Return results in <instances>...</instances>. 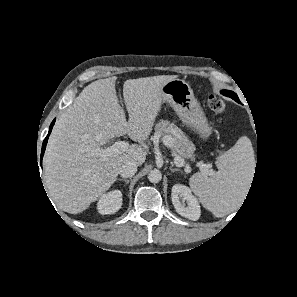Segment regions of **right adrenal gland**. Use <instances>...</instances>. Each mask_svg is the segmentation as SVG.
<instances>
[{
  "mask_svg": "<svg viewBox=\"0 0 297 297\" xmlns=\"http://www.w3.org/2000/svg\"><path fill=\"white\" fill-rule=\"evenodd\" d=\"M118 181H124L126 182V184H128L130 182V179L119 178Z\"/></svg>",
  "mask_w": 297,
  "mask_h": 297,
  "instance_id": "obj_1",
  "label": "right adrenal gland"
}]
</instances>
